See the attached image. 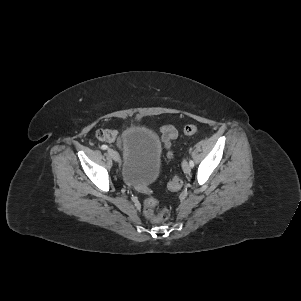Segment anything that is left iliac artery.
<instances>
[{
  "instance_id": "1",
  "label": "left iliac artery",
  "mask_w": 301,
  "mask_h": 301,
  "mask_svg": "<svg viewBox=\"0 0 301 301\" xmlns=\"http://www.w3.org/2000/svg\"><path fill=\"white\" fill-rule=\"evenodd\" d=\"M189 165L191 166V167H194V162L190 159L189 160Z\"/></svg>"
}]
</instances>
